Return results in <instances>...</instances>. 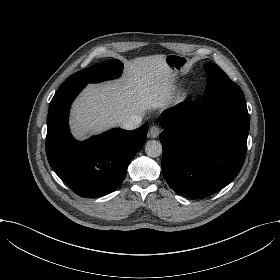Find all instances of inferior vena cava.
<instances>
[{
  "label": "inferior vena cava",
  "mask_w": 280,
  "mask_h": 280,
  "mask_svg": "<svg viewBox=\"0 0 280 280\" xmlns=\"http://www.w3.org/2000/svg\"><path fill=\"white\" fill-rule=\"evenodd\" d=\"M142 117L138 115H132L131 118L127 121H124L121 124V128L124 130H134L139 127Z\"/></svg>",
  "instance_id": "602c4592"
}]
</instances>
